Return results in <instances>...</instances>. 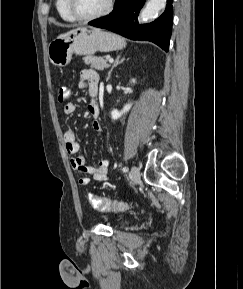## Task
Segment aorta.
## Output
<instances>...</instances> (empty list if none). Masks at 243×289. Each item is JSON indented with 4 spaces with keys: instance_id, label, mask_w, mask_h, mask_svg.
<instances>
[{
    "instance_id": "aorta-1",
    "label": "aorta",
    "mask_w": 243,
    "mask_h": 289,
    "mask_svg": "<svg viewBox=\"0 0 243 289\" xmlns=\"http://www.w3.org/2000/svg\"><path fill=\"white\" fill-rule=\"evenodd\" d=\"M166 0H149L146 7L139 15L140 22H147L154 19L164 8Z\"/></svg>"
}]
</instances>
